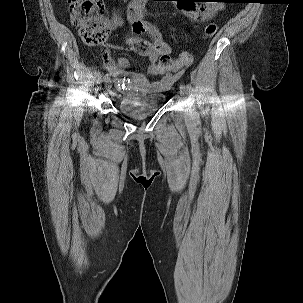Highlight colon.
Listing matches in <instances>:
<instances>
[{"mask_svg":"<svg viewBox=\"0 0 303 303\" xmlns=\"http://www.w3.org/2000/svg\"><path fill=\"white\" fill-rule=\"evenodd\" d=\"M71 20L78 28L83 43L87 46L102 45L109 33L110 27L103 20V4L101 0H68ZM217 32V25L209 23L205 27L206 38L213 37ZM192 62V54L182 52L173 60L168 52H164L158 61V67L163 70H178Z\"/></svg>","mask_w":303,"mask_h":303,"instance_id":"5ec220e1","label":"colon"}]
</instances>
